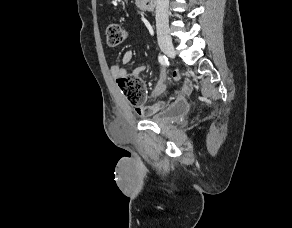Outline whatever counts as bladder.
<instances>
[{
	"mask_svg": "<svg viewBox=\"0 0 292 228\" xmlns=\"http://www.w3.org/2000/svg\"><path fill=\"white\" fill-rule=\"evenodd\" d=\"M188 112V103L185 100H181L172 105L168 111L153 115L148 120L156 124H166L184 117Z\"/></svg>",
	"mask_w": 292,
	"mask_h": 228,
	"instance_id": "obj_1",
	"label": "bladder"
}]
</instances>
